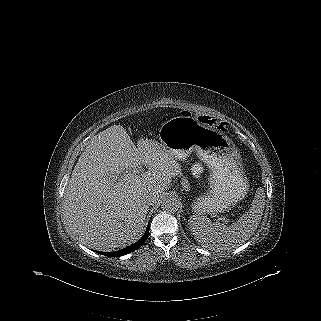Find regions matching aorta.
<instances>
[{
    "mask_svg": "<svg viewBox=\"0 0 321 321\" xmlns=\"http://www.w3.org/2000/svg\"><path fill=\"white\" fill-rule=\"evenodd\" d=\"M180 207V201L173 195H166L161 202V208L166 212H176Z\"/></svg>",
    "mask_w": 321,
    "mask_h": 321,
    "instance_id": "762f6f07",
    "label": "aorta"
}]
</instances>
